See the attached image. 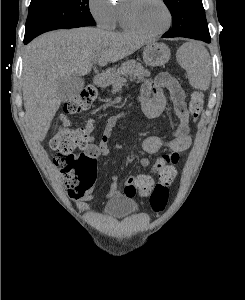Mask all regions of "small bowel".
Returning a JSON list of instances; mask_svg holds the SVG:
<instances>
[{"label":"small bowel","mask_w":245,"mask_h":300,"mask_svg":"<svg viewBox=\"0 0 245 300\" xmlns=\"http://www.w3.org/2000/svg\"><path fill=\"white\" fill-rule=\"evenodd\" d=\"M139 109L148 118L160 116L168 102L172 111L178 119V125L172 132V137L165 140L158 136H148L142 143L141 148L147 154H156L162 149L168 150L167 154L160 156L152 165L153 172L159 175L158 181L153 184L154 190H164L170 188L171 184L177 178L176 163L179 159V153L186 151L192 143L191 122L189 112L185 102V93L178 81L169 73L163 72L153 80H147L143 83L138 96ZM124 116V113H118L111 116L105 125L101 140L95 143V137L89 135L88 143L83 148L84 154L95 159L109 155L108 142L117 121ZM142 163L147 166L149 161L144 159ZM138 176H130L126 181L123 191L117 186V177L113 178L111 189L103 196H95L89 192L76 202L79 210L87 209L88 201H97L107 199L113 196L124 195L133 198L136 194V179Z\"/></svg>","instance_id":"obj_1"}]
</instances>
